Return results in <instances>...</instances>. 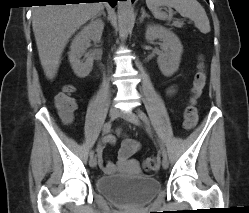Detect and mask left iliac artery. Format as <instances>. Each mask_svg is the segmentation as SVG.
I'll return each mask as SVG.
<instances>
[{"instance_id": "44dca946", "label": "left iliac artery", "mask_w": 249, "mask_h": 213, "mask_svg": "<svg viewBox=\"0 0 249 213\" xmlns=\"http://www.w3.org/2000/svg\"><path fill=\"white\" fill-rule=\"evenodd\" d=\"M138 115L139 117L143 120V122L150 127V121L147 117V115L142 111V110H138ZM161 143V142H160ZM161 150H162V156L163 157H167V152L165 147L163 146V144L161 143Z\"/></svg>"}]
</instances>
